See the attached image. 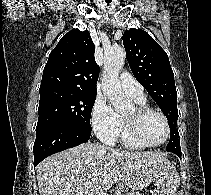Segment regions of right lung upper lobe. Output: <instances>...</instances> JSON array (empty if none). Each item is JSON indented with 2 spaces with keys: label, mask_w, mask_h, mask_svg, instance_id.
I'll list each match as a JSON object with an SVG mask.
<instances>
[{
  "label": "right lung upper lobe",
  "mask_w": 211,
  "mask_h": 195,
  "mask_svg": "<svg viewBox=\"0 0 211 195\" xmlns=\"http://www.w3.org/2000/svg\"><path fill=\"white\" fill-rule=\"evenodd\" d=\"M90 33L72 29L51 51L43 70L40 92L64 89L96 93L99 67Z\"/></svg>",
  "instance_id": "right-lung-upper-lobe-1"
}]
</instances>
